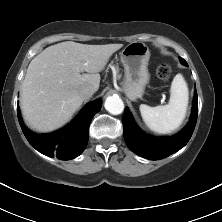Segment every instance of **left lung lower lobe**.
<instances>
[{"label": "left lung lower lobe", "instance_id": "1", "mask_svg": "<svg viewBox=\"0 0 222 222\" xmlns=\"http://www.w3.org/2000/svg\"><path fill=\"white\" fill-rule=\"evenodd\" d=\"M198 116V97L195 90L191 118L188 124L178 134L172 137H153L143 133L134 123L128 108L123 116L124 139L127 146L137 155L159 160L177 152L191 138Z\"/></svg>", "mask_w": 222, "mask_h": 222}]
</instances>
